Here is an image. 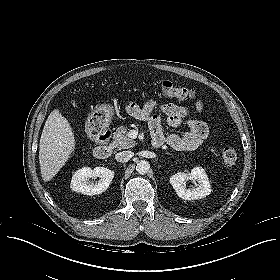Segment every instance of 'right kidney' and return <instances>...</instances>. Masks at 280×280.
<instances>
[{
  "instance_id": "right-kidney-1",
  "label": "right kidney",
  "mask_w": 280,
  "mask_h": 280,
  "mask_svg": "<svg viewBox=\"0 0 280 280\" xmlns=\"http://www.w3.org/2000/svg\"><path fill=\"white\" fill-rule=\"evenodd\" d=\"M90 178H99V180L93 183L89 181ZM113 178L114 172L105 167L94 169L84 167L72 176L71 188L85 195H97L107 190Z\"/></svg>"
}]
</instances>
